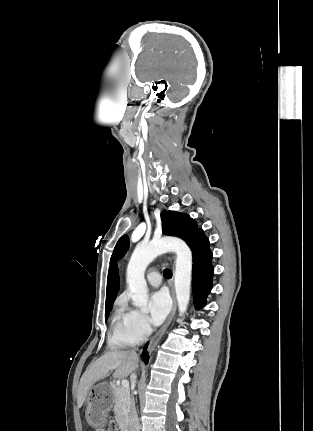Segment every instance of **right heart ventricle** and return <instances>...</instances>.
Returning a JSON list of instances; mask_svg holds the SVG:
<instances>
[{
  "mask_svg": "<svg viewBox=\"0 0 313 431\" xmlns=\"http://www.w3.org/2000/svg\"><path fill=\"white\" fill-rule=\"evenodd\" d=\"M130 312L131 310H128L122 301L117 304L109 336V344L112 348L131 347L140 341L129 326Z\"/></svg>",
  "mask_w": 313,
  "mask_h": 431,
  "instance_id": "obj_1",
  "label": "right heart ventricle"
}]
</instances>
